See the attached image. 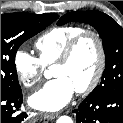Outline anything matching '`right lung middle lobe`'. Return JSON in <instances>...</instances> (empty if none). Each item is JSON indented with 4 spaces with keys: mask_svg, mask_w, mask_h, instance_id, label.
<instances>
[{
    "mask_svg": "<svg viewBox=\"0 0 123 123\" xmlns=\"http://www.w3.org/2000/svg\"><path fill=\"white\" fill-rule=\"evenodd\" d=\"M57 14L7 13L1 15V92L20 91L15 55L20 45L54 20Z\"/></svg>",
    "mask_w": 123,
    "mask_h": 123,
    "instance_id": "obj_1",
    "label": "right lung middle lobe"
}]
</instances>
